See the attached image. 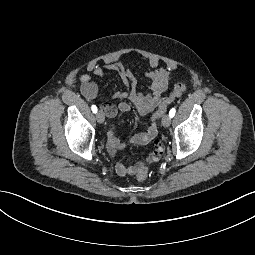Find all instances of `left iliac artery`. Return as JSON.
I'll list each match as a JSON object with an SVG mask.
<instances>
[{
	"label": "left iliac artery",
	"instance_id": "1",
	"mask_svg": "<svg viewBox=\"0 0 255 255\" xmlns=\"http://www.w3.org/2000/svg\"><path fill=\"white\" fill-rule=\"evenodd\" d=\"M175 112H176L175 108H172L169 112V116L172 118L175 115Z\"/></svg>",
	"mask_w": 255,
	"mask_h": 255
}]
</instances>
